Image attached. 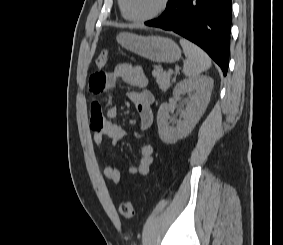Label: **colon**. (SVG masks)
Returning <instances> with one entry per match:
<instances>
[{
  "label": "colon",
  "instance_id": "colon-1",
  "mask_svg": "<svg viewBox=\"0 0 283 245\" xmlns=\"http://www.w3.org/2000/svg\"><path fill=\"white\" fill-rule=\"evenodd\" d=\"M109 60V52L107 50L101 52L95 59L94 65L97 68H103ZM121 215L125 218H130L134 214V205L130 200L123 201L119 206Z\"/></svg>",
  "mask_w": 283,
  "mask_h": 245
}]
</instances>
